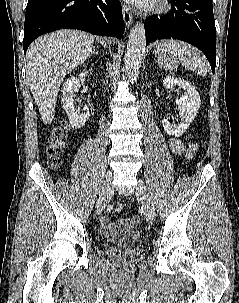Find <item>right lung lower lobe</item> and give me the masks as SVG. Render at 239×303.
Returning <instances> with one entry per match:
<instances>
[{"instance_id":"obj_1","label":"right lung lower lobe","mask_w":239,"mask_h":303,"mask_svg":"<svg viewBox=\"0 0 239 303\" xmlns=\"http://www.w3.org/2000/svg\"><path fill=\"white\" fill-rule=\"evenodd\" d=\"M62 28L120 39L125 29L121 4L118 0H28L24 53L38 36Z\"/></svg>"}]
</instances>
